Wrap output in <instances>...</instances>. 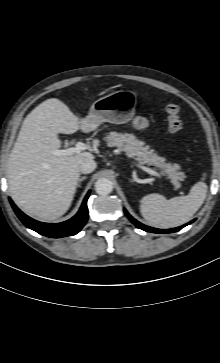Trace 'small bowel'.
Segmentation results:
<instances>
[{
	"label": "small bowel",
	"mask_w": 220,
	"mask_h": 363,
	"mask_svg": "<svg viewBox=\"0 0 220 363\" xmlns=\"http://www.w3.org/2000/svg\"><path fill=\"white\" fill-rule=\"evenodd\" d=\"M133 123H134L135 127L139 128V129H144L148 125L147 120L142 117H136L134 119Z\"/></svg>",
	"instance_id": "c3829d8e"
}]
</instances>
